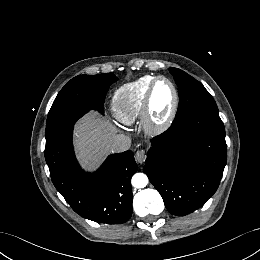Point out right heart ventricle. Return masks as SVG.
<instances>
[{"label": "right heart ventricle", "instance_id": "e07e8e85", "mask_svg": "<svg viewBox=\"0 0 260 260\" xmlns=\"http://www.w3.org/2000/svg\"><path fill=\"white\" fill-rule=\"evenodd\" d=\"M155 76H143L119 87L112 97L115 117L124 124H133L141 118L144 99Z\"/></svg>", "mask_w": 260, "mask_h": 260}]
</instances>
